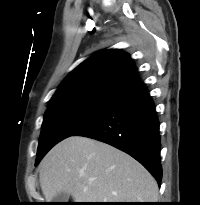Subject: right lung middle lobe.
Segmentation results:
<instances>
[{
	"label": "right lung middle lobe",
	"mask_w": 200,
	"mask_h": 205,
	"mask_svg": "<svg viewBox=\"0 0 200 205\" xmlns=\"http://www.w3.org/2000/svg\"><path fill=\"white\" fill-rule=\"evenodd\" d=\"M113 99L82 97L63 100L49 105L42 124L35 165L59 141L72 136L114 103Z\"/></svg>",
	"instance_id": "right-lung-middle-lobe-1"
}]
</instances>
